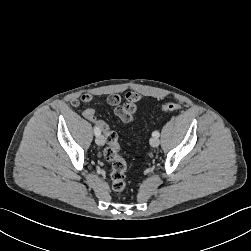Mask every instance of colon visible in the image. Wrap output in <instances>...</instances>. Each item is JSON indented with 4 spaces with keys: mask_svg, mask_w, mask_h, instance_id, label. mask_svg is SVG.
I'll list each match as a JSON object with an SVG mask.
<instances>
[{
    "mask_svg": "<svg viewBox=\"0 0 251 251\" xmlns=\"http://www.w3.org/2000/svg\"><path fill=\"white\" fill-rule=\"evenodd\" d=\"M181 105L176 102H169L162 106L164 111H176ZM84 119L89 120L92 124L100 128L104 133L106 148L104 149V158L111 163L110 179L112 188L116 192H123L126 189L125 173L127 170V162L120 154V145L118 143L117 134L110 130L108 125L103 121H98L96 109L89 106L82 113Z\"/></svg>",
    "mask_w": 251,
    "mask_h": 251,
    "instance_id": "obj_1",
    "label": "colon"
}]
</instances>
